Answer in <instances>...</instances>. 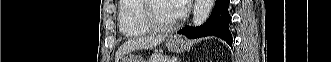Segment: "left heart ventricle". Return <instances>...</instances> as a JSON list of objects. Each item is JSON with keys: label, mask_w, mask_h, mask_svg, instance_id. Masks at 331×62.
<instances>
[{"label": "left heart ventricle", "mask_w": 331, "mask_h": 62, "mask_svg": "<svg viewBox=\"0 0 331 62\" xmlns=\"http://www.w3.org/2000/svg\"><path fill=\"white\" fill-rule=\"evenodd\" d=\"M151 13L162 24L173 22L178 18L172 1H154Z\"/></svg>", "instance_id": "obj_1"}]
</instances>
